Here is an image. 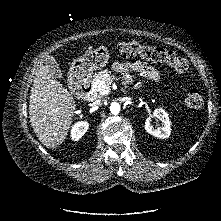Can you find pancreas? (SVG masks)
Listing matches in <instances>:
<instances>
[{"label":"pancreas","instance_id":"pancreas-1","mask_svg":"<svg viewBox=\"0 0 221 221\" xmlns=\"http://www.w3.org/2000/svg\"><path fill=\"white\" fill-rule=\"evenodd\" d=\"M110 72L103 70L94 75L92 86L100 95H106L110 92Z\"/></svg>","mask_w":221,"mask_h":221}]
</instances>
